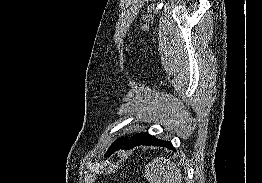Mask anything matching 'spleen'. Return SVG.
<instances>
[{
    "instance_id": "spleen-1",
    "label": "spleen",
    "mask_w": 262,
    "mask_h": 183,
    "mask_svg": "<svg viewBox=\"0 0 262 183\" xmlns=\"http://www.w3.org/2000/svg\"><path fill=\"white\" fill-rule=\"evenodd\" d=\"M145 177L150 183L182 182V174L177 165L163 157L155 158L146 166Z\"/></svg>"
}]
</instances>
